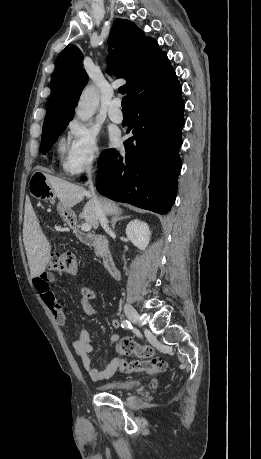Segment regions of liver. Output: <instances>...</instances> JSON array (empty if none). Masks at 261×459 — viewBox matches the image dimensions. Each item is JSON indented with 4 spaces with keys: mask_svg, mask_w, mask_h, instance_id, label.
Listing matches in <instances>:
<instances>
[{
    "mask_svg": "<svg viewBox=\"0 0 261 459\" xmlns=\"http://www.w3.org/2000/svg\"><path fill=\"white\" fill-rule=\"evenodd\" d=\"M41 172L45 174L55 196L60 200L63 209H70L81 202L84 197L88 199L79 217L84 219L86 223L90 224L94 229H97L99 226V218L95 211V204L92 200L91 193L82 186L47 174L44 170ZM99 199L106 215L121 214L122 210L115 202L103 197H99ZM24 246L31 277H38L46 269V265L50 259L51 245L42 233L32 209L29 221L24 229Z\"/></svg>",
    "mask_w": 261,
    "mask_h": 459,
    "instance_id": "1",
    "label": "liver"
}]
</instances>
